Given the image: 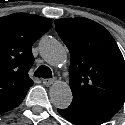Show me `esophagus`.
<instances>
[{
	"label": "esophagus",
	"instance_id": "1",
	"mask_svg": "<svg viewBox=\"0 0 125 125\" xmlns=\"http://www.w3.org/2000/svg\"><path fill=\"white\" fill-rule=\"evenodd\" d=\"M42 83L46 86H50L55 83V79H43Z\"/></svg>",
	"mask_w": 125,
	"mask_h": 125
}]
</instances>
